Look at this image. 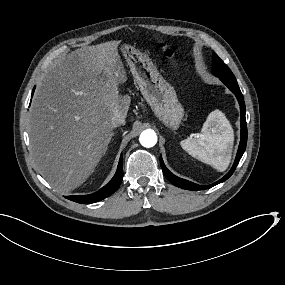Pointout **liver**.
Listing matches in <instances>:
<instances>
[{"mask_svg":"<svg viewBox=\"0 0 285 285\" xmlns=\"http://www.w3.org/2000/svg\"><path fill=\"white\" fill-rule=\"evenodd\" d=\"M120 41L63 54L38 82L28 118L30 150L39 172L62 194L81 186L108 149L114 112L125 118L130 97Z\"/></svg>","mask_w":285,"mask_h":285,"instance_id":"liver-1","label":"liver"}]
</instances>
